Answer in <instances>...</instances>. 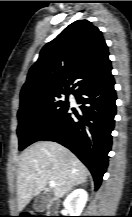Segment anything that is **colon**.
Masks as SVG:
<instances>
[{
	"mask_svg": "<svg viewBox=\"0 0 132 217\" xmlns=\"http://www.w3.org/2000/svg\"><path fill=\"white\" fill-rule=\"evenodd\" d=\"M23 217H32V216H23Z\"/></svg>",
	"mask_w": 132,
	"mask_h": 217,
	"instance_id": "obj_1",
	"label": "colon"
}]
</instances>
